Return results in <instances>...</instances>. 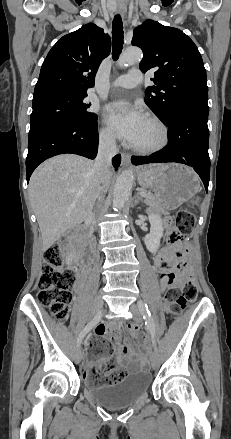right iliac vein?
Returning <instances> with one entry per match:
<instances>
[{
	"mask_svg": "<svg viewBox=\"0 0 231 439\" xmlns=\"http://www.w3.org/2000/svg\"><path fill=\"white\" fill-rule=\"evenodd\" d=\"M102 307H103V299L101 298V296H98L96 299H95V302H94V306H93V311H94V319H96V320H98V321H100V319H101V317H102ZM82 356H83V354H82V348H81V346L79 345L77 348H76V351H75V362L77 363V364H79L80 362H81V360H82Z\"/></svg>",
	"mask_w": 231,
	"mask_h": 439,
	"instance_id": "1",
	"label": "right iliac vein"
}]
</instances>
